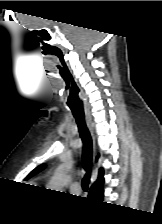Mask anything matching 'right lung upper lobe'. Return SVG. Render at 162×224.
Listing matches in <instances>:
<instances>
[{
    "mask_svg": "<svg viewBox=\"0 0 162 224\" xmlns=\"http://www.w3.org/2000/svg\"><path fill=\"white\" fill-rule=\"evenodd\" d=\"M43 169V167L41 166H37L28 176L26 179H29L30 177H32L33 175L37 174L38 172H40ZM103 169L99 170V175L97 180L94 182V184L92 185L91 189H90V193L89 195L94 197L96 196L100 191L99 189L102 187L103 183H104V178H103Z\"/></svg>",
    "mask_w": 162,
    "mask_h": 224,
    "instance_id": "obj_1",
    "label": "right lung upper lobe"
}]
</instances>
